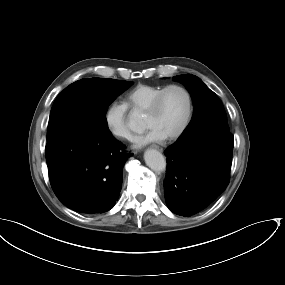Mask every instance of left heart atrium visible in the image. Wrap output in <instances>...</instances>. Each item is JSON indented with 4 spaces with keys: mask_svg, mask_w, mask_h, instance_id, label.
<instances>
[{
    "mask_svg": "<svg viewBox=\"0 0 285 285\" xmlns=\"http://www.w3.org/2000/svg\"><path fill=\"white\" fill-rule=\"evenodd\" d=\"M162 138H163V136L159 132H157L155 129L150 128L149 131L145 135L139 137L136 140L135 146L141 147V146H143L149 142L157 141V140H160Z\"/></svg>",
    "mask_w": 285,
    "mask_h": 285,
    "instance_id": "1",
    "label": "left heart atrium"
}]
</instances>
